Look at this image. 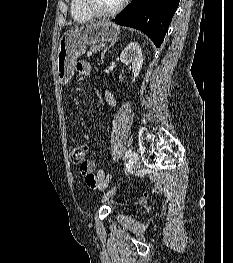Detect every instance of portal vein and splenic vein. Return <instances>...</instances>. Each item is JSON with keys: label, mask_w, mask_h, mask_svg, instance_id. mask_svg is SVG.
Segmentation results:
<instances>
[{"label": "portal vein and splenic vein", "mask_w": 233, "mask_h": 263, "mask_svg": "<svg viewBox=\"0 0 233 263\" xmlns=\"http://www.w3.org/2000/svg\"><path fill=\"white\" fill-rule=\"evenodd\" d=\"M91 55H92V53H91V52H88V53H87V56H91Z\"/></svg>", "instance_id": "1"}]
</instances>
